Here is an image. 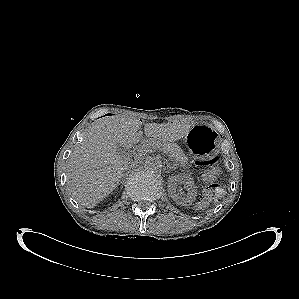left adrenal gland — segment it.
Wrapping results in <instances>:
<instances>
[{
    "instance_id": "a2214340",
    "label": "left adrenal gland",
    "mask_w": 299,
    "mask_h": 299,
    "mask_svg": "<svg viewBox=\"0 0 299 299\" xmlns=\"http://www.w3.org/2000/svg\"><path fill=\"white\" fill-rule=\"evenodd\" d=\"M167 168L169 169V171H170V170H175V169H176L175 166H171L170 164H167Z\"/></svg>"
}]
</instances>
